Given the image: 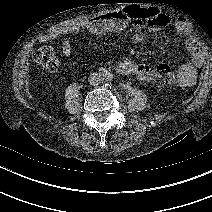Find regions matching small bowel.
<instances>
[{
  "instance_id": "small-bowel-1",
  "label": "small bowel",
  "mask_w": 212,
  "mask_h": 212,
  "mask_svg": "<svg viewBox=\"0 0 212 212\" xmlns=\"http://www.w3.org/2000/svg\"><path fill=\"white\" fill-rule=\"evenodd\" d=\"M129 22L136 32H140L145 24L152 28L162 30L169 25L179 32L187 30V23L183 18L171 19L167 14L157 8H144L138 5H127L112 12L103 13L94 19L65 22L50 28L46 33L38 38L41 44L48 43L59 37H64L61 42V52L66 58L72 56L70 41L66 35L79 32L81 30L90 34H104L108 32L117 33L124 30ZM183 47L190 55L191 62L184 63L179 67L177 74V85L190 86L196 78L194 65L201 63L202 53L198 42L191 36L186 35L183 39ZM117 70L126 75H133L142 81H150L154 76L153 69L146 64H137L129 60H124L118 64Z\"/></svg>"
}]
</instances>
